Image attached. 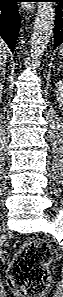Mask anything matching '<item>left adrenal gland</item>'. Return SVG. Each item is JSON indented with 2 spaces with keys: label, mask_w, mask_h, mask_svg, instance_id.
<instances>
[{
  "label": "left adrenal gland",
  "mask_w": 63,
  "mask_h": 297,
  "mask_svg": "<svg viewBox=\"0 0 63 297\" xmlns=\"http://www.w3.org/2000/svg\"><path fill=\"white\" fill-rule=\"evenodd\" d=\"M62 66H63V65H60V67H59L58 71H60V69L62 68Z\"/></svg>",
  "instance_id": "obj_1"
}]
</instances>
